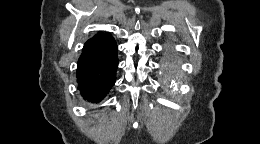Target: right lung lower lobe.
<instances>
[{"instance_id":"right-lung-lower-lobe-1","label":"right lung lower lobe","mask_w":260,"mask_h":144,"mask_svg":"<svg viewBox=\"0 0 260 144\" xmlns=\"http://www.w3.org/2000/svg\"><path fill=\"white\" fill-rule=\"evenodd\" d=\"M117 53L116 41L109 33L95 36L85 43L76 76L80 93L88 102H100L115 84Z\"/></svg>"}]
</instances>
